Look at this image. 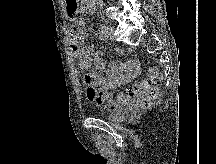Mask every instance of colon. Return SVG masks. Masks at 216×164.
<instances>
[{"instance_id":"obj_1","label":"colon","mask_w":216,"mask_h":164,"mask_svg":"<svg viewBox=\"0 0 216 164\" xmlns=\"http://www.w3.org/2000/svg\"><path fill=\"white\" fill-rule=\"evenodd\" d=\"M162 84V75L157 67L149 69L146 77L136 81L131 87L118 95L104 94L108 103L124 105L137 99L142 109H148L157 99Z\"/></svg>"}]
</instances>
